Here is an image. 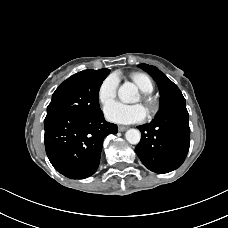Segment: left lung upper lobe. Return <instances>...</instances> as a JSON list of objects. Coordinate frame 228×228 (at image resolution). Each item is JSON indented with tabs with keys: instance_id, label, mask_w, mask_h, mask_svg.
<instances>
[{
	"instance_id": "left-lung-upper-lobe-1",
	"label": "left lung upper lobe",
	"mask_w": 228,
	"mask_h": 228,
	"mask_svg": "<svg viewBox=\"0 0 228 228\" xmlns=\"http://www.w3.org/2000/svg\"><path fill=\"white\" fill-rule=\"evenodd\" d=\"M139 67L150 74L156 81L160 94V111L157 116L163 113L176 103L185 102L181 91L167 76L161 72L157 67L148 64H140Z\"/></svg>"
}]
</instances>
